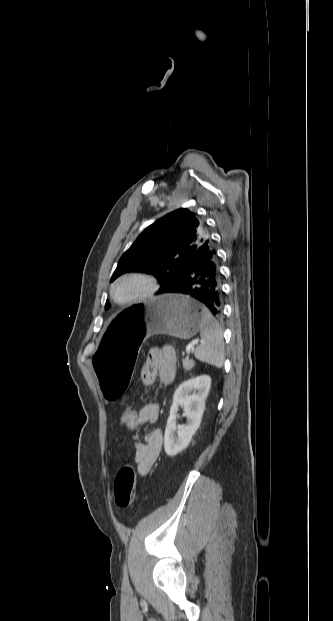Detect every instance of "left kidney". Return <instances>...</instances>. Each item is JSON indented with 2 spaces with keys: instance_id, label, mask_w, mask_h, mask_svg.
Returning <instances> with one entry per match:
<instances>
[{
  "instance_id": "5707ae66",
  "label": "left kidney",
  "mask_w": 333,
  "mask_h": 621,
  "mask_svg": "<svg viewBox=\"0 0 333 621\" xmlns=\"http://www.w3.org/2000/svg\"><path fill=\"white\" fill-rule=\"evenodd\" d=\"M210 386L211 378L202 375L183 382L176 389L164 435V449L168 456H175L190 443L200 426ZM179 406L183 407L187 424L177 430L176 418ZM176 430L178 437L175 435Z\"/></svg>"
}]
</instances>
